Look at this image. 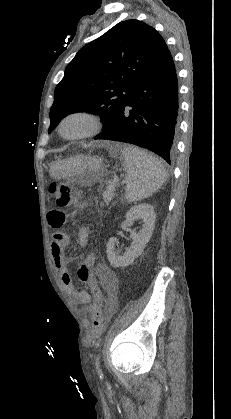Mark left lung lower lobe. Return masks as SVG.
<instances>
[{"mask_svg":"<svg viewBox=\"0 0 231 419\" xmlns=\"http://www.w3.org/2000/svg\"><path fill=\"white\" fill-rule=\"evenodd\" d=\"M177 130L178 81L168 51L138 80L110 125L94 139L132 143L155 152L171 164Z\"/></svg>","mask_w":231,"mask_h":419,"instance_id":"left-lung-lower-lobe-1","label":"left lung lower lobe"}]
</instances>
